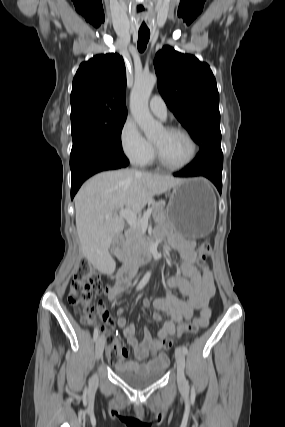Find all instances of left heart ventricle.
<instances>
[{"mask_svg":"<svg viewBox=\"0 0 285 427\" xmlns=\"http://www.w3.org/2000/svg\"><path fill=\"white\" fill-rule=\"evenodd\" d=\"M152 141L158 146L163 159L169 164H181L190 156V142L181 133L167 132L162 129Z\"/></svg>","mask_w":285,"mask_h":427,"instance_id":"obj_1","label":"left heart ventricle"}]
</instances>
